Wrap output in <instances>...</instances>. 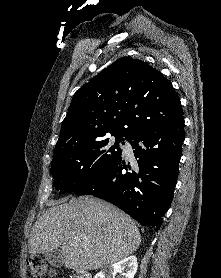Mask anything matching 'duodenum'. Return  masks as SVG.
I'll list each match as a JSON object with an SVG mask.
<instances>
[{"label":"duodenum","mask_w":221,"mask_h":278,"mask_svg":"<svg viewBox=\"0 0 221 278\" xmlns=\"http://www.w3.org/2000/svg\"><path fill=\"white\" fill-rule=\"evenodd\" d=\"M74 276L75 278H92L91 275L84 270H76Z\"/></svg>","instance_id":"1"}]
</instances>
